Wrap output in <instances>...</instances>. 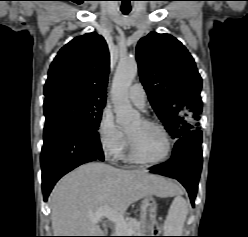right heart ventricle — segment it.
<instances>
[{
    "label": "right heart ventricle",
    "mask_w": 248,
    "mask_h": 237,
    "mask_svg": "<svg viewBox=\"0 0 248 237\" xmlns=\"http://www.w3.org/2000/svg\"><path fill=\"white\" fill-rule=\"evenodd\" d=\"M120 157L123 158V159L129 160V161L133 160L131 158V156L129 154H127V153H125V154L122 153V155Z\"/></svg>",
    "instance_id": "obj_1"
}]
</instances>
